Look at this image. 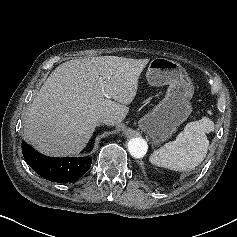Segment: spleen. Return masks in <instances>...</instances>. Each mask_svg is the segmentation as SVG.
Segmentation results:
<instances>
[{
    "label": "spleen",
    "instance_id": "1",
    "mask_svg": "<svg viewBox=\"0 0 237 237\" xmlns=\"http://www.w3.org/2000/svg\"><path fill=\"white\" fill-rule=\"evenodd\" d=\"M211 114V111H209ZM214 130V123L208 117L189 122L175 141L154 151L150 162L158 167L175 171H188L205 159L209 140L206 133Z\"/></svg>",
    "mask_w": 237,
    "mask_h": 237
}]
</instances>
